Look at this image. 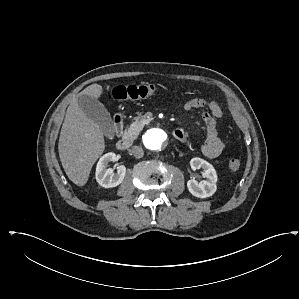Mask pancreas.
Segmentation results:
<instances>
[{
	"instance_id": "pancreas-1",
	"label": "pancreas",
	"mask_w": 299,
	"mask_h": 299,
	"mask_svg": "<svg viewBox=\"0 0 299 299\" xmlns=\"http://www.w3.org/2000/svg\"><path fill=\"white\" fill-rule=\"evenodd\" d=\"M146 120L141 118L140 120H136L133 122L127 130L124 131L122 137L124 139L134 140L137 138L138 134L143 129L144 125L146 124Z\"/></svg>"
}]
</instances>
